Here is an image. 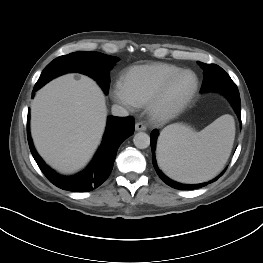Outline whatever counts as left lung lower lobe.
<instances>
[{"mask_svg":"<svg viewBox=\"0 0 263 263\" xmlns=\"http://www.w3.org/2000/svg\"><path fill=\"white\" fill-rule=\"evenodd\" d=\"M199 65L204 70V82L202 86V92L205 91H218L222 94H224L228 100L230 101L232 107L234 108L238 118L241 122V102H240V95L239 91L237 89L236 85H215V79L219 78L218 72L220 71V67L215 64H205L202 62H199ZM158 136V130L152 131L150 135L151 140V148H152V157H153V165L154 168L158 174V176L169 186L179 189V190H192L197 189L203 186H206L207 184L216 181L224 172L225 170L215 179L207 182V183H201L196 185H187V184H181L177 183L175 181H172L168 177H166L163 172L158 168L155 160V147H156V141Z\"/></svg>","mask_w":263,"mask_h":263,"instance_id":"0a47b994","label":"left lung lower lobe"}]
</instances>
